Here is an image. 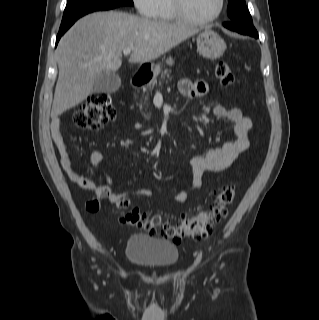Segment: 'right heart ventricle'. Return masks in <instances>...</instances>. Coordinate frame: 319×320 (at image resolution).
Returning a JSON list of instances; mask_svg holds the SVG:
<instances>
[{"mask_svg": "<svg viewBox=\"0 0 319 320\" xmlns=\"http://www.w3.org/2000/svg\"><path fill=\"white\" fill-rule=\"evenodd\" d=\"M157 19L166 23H173L178 20L173 12L171 0H162Z\"/></svg>", "mask_w": 319, "mask_h": 320, "instance_id": "e07e8e85", "label": "right heart ventricle"}]
</instances>
